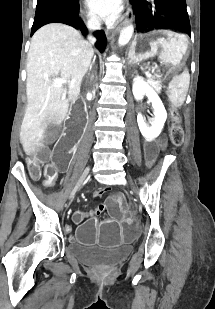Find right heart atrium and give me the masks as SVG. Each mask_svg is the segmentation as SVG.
Masks as SVG:
<instances>
[{"mask_svg":"<svg viewBox=\"0 0 215 309\" xmlns=\"http://www.w3.org/2000/svg\"><path fill=\"white\" fill-rule=\"evenodd\" d=\"M85 24L87 27H96L97 21L92 16H87L85 19Z\"/></svg>","mask_w":215,"mask_h":309,"instance_id":"1","label":"right heart atrium"}]
</instances>
